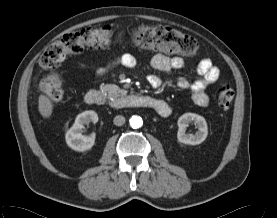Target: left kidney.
I'll list each match as a JSON object with an SVG mask.
<instances>
[{"label":"left kidney","instance_id":"1","mask_svg":"<svg viewBox=\"0 0 277 218\" xmlns=\"http://www.w3.org/2000/svg\"><path fill=\"white\" fill-rule=\"evenodd\" d=\"M191 122H194L198 128V131L195 134L186 133V128ZM177 125V138L178 141L183 144L198 145L202 143L208 135V126L205 118L195 113L189 112L181 115L178 119Z\"/></svg>","mask_w":277,"mask_h":218}]
</instances>
